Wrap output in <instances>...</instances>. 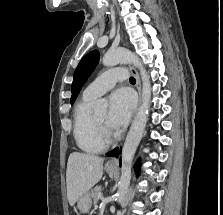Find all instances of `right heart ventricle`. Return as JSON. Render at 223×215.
Wrapping results in <instances>:
<instances>
[{
    "mask_svg": "<svg viewBox=\"0 0 223 215\" xmlns=\"http://www.w3.org/2000/svg\"><path fill=\"white\" fill-rule=\"evenodd\" d=\"M92 99L83 95L75 106L72 132L79 149L89 154H96L103 152L106 146L97 139L94 114L88 109Z\"/></svg>",
    "mask_w": 223,
    "mask_h": 215,
    "instance_id": "e07e8e85",
    "label": "right heart ventricle"
}]
</instances>
